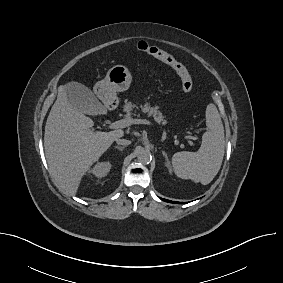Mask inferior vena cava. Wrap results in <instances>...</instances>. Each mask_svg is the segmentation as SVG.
Masks as SVG:
<instances>
[{"mask_svg": "<svg viewBox=\"0 0 283 283\" xmlns=\"http://www.w3.org/2000/svg\"><path fill=\"white\" fill-rule=\"evenodd\" d=\"M116 143L118 145H123V146H127V145H130L131 144V141L130 140H126V139H116Z\"/></svg>", "mask_w": 283, "mask_h": 283, "instance_id": "602c4592", "label": "inferior vena cava"}]
</instances>
